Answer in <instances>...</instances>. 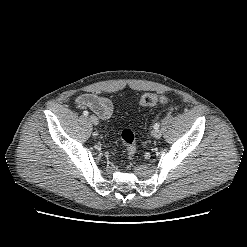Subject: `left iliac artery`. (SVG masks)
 Segmentation results:
<instances>
[{"label":"left iliac artery","instance_id":"left-iliac-artery-1","mask_svg":"<svg viewBox=\"0 0 247 247\" xmlns=\"http://www.w3.org/2000/svg\"><path fill=\"white\" fill-rule=\"evenodd\" d=\"M159 126H160V124H159V123H156V124L154 125V129H158Z\"/></svg>","mask_w":247,"mask_h":247}]
</instances>
